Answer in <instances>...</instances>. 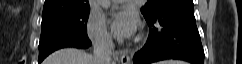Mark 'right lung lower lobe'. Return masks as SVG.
I'll use <instances>...</instances> for the list:
<instances>
[{"instance_id": "right-lung-lower-lobe-1", "label": "right lung lower lobe", "mask_w": 242, "mask_h": 64, "mask_svg": "<svg viewBox=\"0 0 242 64\" xmlns=\"http://www.w3.org/2000/svg\"><path fill=\"white\" fill-rule=\"evenodd\" d=\"M90 45H91V44H90ZM90 45H89V46H90ZM89 46H88V47H89ZM86 48H87V47H86ZM42 61H43V59H42V60L40 59V60H39V63H41Z\"/></svg>"}]
</instances>
